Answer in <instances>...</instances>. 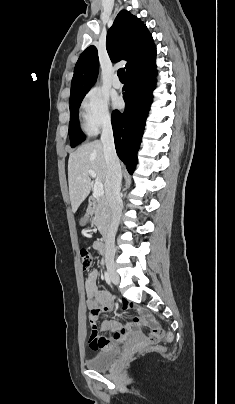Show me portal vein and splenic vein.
<instances>
[{
  "mask_svg": "<svg viewBox=\"0 0 235 404\" xmlns=\"http://www.w3.org/2000/svg\"><path fill=\"white\" fill-rule=\"evenodd\" d=\"M88 173L92 178H96L95 171L89 170ZM93 192H94L95 196L102 197L103 194H104L103 184L101 182H99V181H96L94 186H93Z\"/></svg>",
  "mask_w": 235,
  "mask_h": 404,
  "instance_id": "portal-vein-and-splenic-vein-1",
  "label": "portal vein and splenic vein"
}]
</instances>
